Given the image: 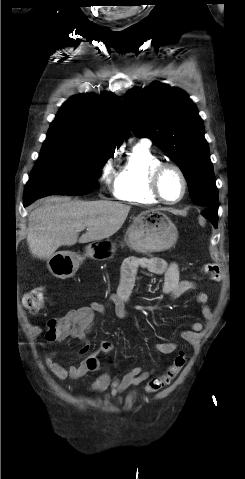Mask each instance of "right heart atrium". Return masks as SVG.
Masks as SVG:
<instances>
[{
    "label": "right heart atrium",
    "instance_id": "right-heart-atrium-1",
    "mask_svg": "<svg viewBox=\"0 0 245 479\" xmlns=\"http://www.w3.org/2000/svg\"><path fill=\"white\" fill-rule=\"evenodd\" d=\"M112 171H113V167H112V162L111 161H107L103 167H102V170H101V176H100V181L102 184H107L111 178V175H112Z\"/></svg>",
    "mask_w": 245,
    "mask_h": 479
}]
</instances>
